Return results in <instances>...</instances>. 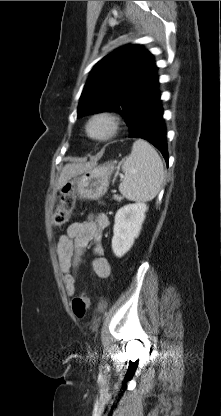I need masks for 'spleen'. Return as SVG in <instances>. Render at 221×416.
Masks as SVG:
<instances>
[{"mask_svg":"<svg viewBox=\"0 0 221 416\" xmlns=\"http://www.w3.org/2000/svg\"><path fill=\"white\" fill-rule=\"evenodd\" d=\"M122 171L125 176L119 191L130 201L152 200L164 181V168L159 154L142 139L133 143L131 154L123 162Z\"/></svg>","mask_w":221,"mask_h":416,"instance_id":"1","label":"spleen"}]
</instances>
